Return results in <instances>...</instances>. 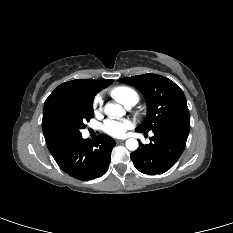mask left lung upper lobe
Instances as JSON below:
<instances>
[{"label": "left lung upper lobe", "instance_id": "obj_1", "mask_svg": "<svg viewBox=\"0 0 233 233\" xmlns=\"http://www.w3.org/2000/svg\"><path fill=\"white\" fill-rule=\"evenodd\" d=\"M119 81L136 87L146 100L147 116L136 130L146 133L166 124L190 120L184 93L170 79L149 73Z\"/></svg>", "mask_w": 233, "mask_h": 233}]
</instances>
